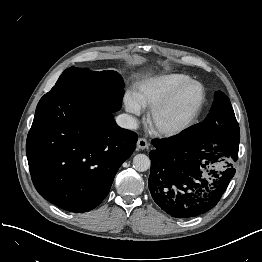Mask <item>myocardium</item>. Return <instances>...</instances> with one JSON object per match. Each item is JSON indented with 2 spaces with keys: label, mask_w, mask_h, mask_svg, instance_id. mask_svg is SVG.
Here are the masks:
<instances>
[{
  "label": "myocardium",
  "mask_w": 262,
  "mask_h": 262,
  "mask_svg": "<svg viewBox=\"0 0 262 262\" xmlns=\"http://www.w3.org/2000/svg\"><path fill=\"white\" fill-rule=\"evenodd\" d=\"M191 84H197L201 87L202 89V97L201 100L196 108V110L193 112V114L182 124L173 126V127H163L158 125L157 123V117L162 112L165 108H167L178 96V94L188 85ZM206 102V89L204 85L194 79H188L184 81L183 83L179 84L176 86L172 91H170L164 98H162L159 102H157L154 106L151 107L147 120L149 125L152 127V129L160 136L164 137H172V136H177L188 129H190L197 121L199 118L204 104Z\"/></svg>",
  "instance_id": "obj_1"
}]
</instances>
